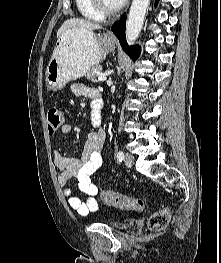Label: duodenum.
Returning <instances> with one entry per match:
<instances>
[{
  "label": "duodenum",
  "instance_id": "obj_1",
  "mask_svg": "<svg viewBox=\"0 0 221 263\" xmlns=\"http://www.w3.org/2000/svg\"><path fill=\"white\" fill-rule=\"evenodd\" d=\"M101 109H102V102H101V99L98 98L94 106V120L96 122H99L100 120Z\"/></svg>",
  "mask_w": 221,
  "mask_h": 263
}]
</instances>
